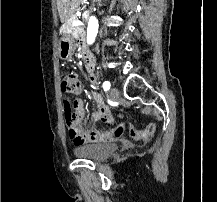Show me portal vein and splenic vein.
<instances>
[{"label": "portal vein and splenic vein", "mask_w": 217, "mask_h": 202, "mask_svg": "<svg viewBox=\"0 0 217 202\" xmlns=\"http://www.w3.org/2000/svg\"><path fill=\"white\" fill-rule=\"evenodd\" d=\"M77 14H80V12H77ZM72 26H84V24L80 20H73Z\"/></svg>", "instance_id": "portal-vein-and-splenic-vein-1"}]
</instances>
